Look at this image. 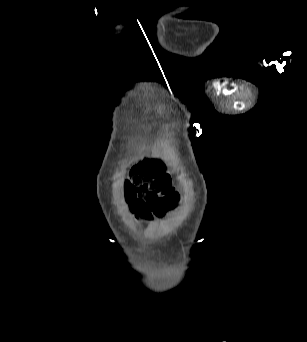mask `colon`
I'll use <instances>...</instances> for the list:
<instances>
[{"mask_svg":"<svg viewBox=\"0 0 307 342\" xmlns=\"http://www.w3.org/2000/svg\"><path fill=\"white\" fill-rule=\"evenodd\" d=\"M128 190L130 195L138 196L147 203L152 198H161L162 206L154 210H161L168 205L175 204L178 200L177 191L172 187L170 176L160 161L135 166ZM130 201H128V206L132 207Z\"/></svg>","mask_w":307,"mask_h":342,"instance_id":"obj_1","label":"colon"}]
</instances>
